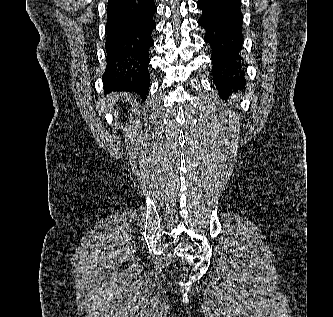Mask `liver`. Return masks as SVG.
<instances>
[{
    "label": "liver",
    "mask_w": 333,
    "mask_h": 317,
    "mask_svg": "<svg viewBox=\"0 0 333 317\" xmlns=\"http://www.w3.org/2000/svg\"><path fill=\"white\" fill-rule=\"evenodd\" d=\"M120 96L117 94L109 95L107 96V99H104L102 101V105L104 106L105 111L112 110L113 106L116 104V102L119 100Z\"/></svg>",
    "instance_id": "liver-1"
}]
</instances>
